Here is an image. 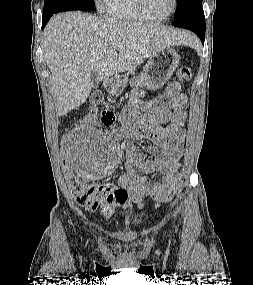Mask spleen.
Segmentation results:
<instances>
[{"label":"spleen","mask_w":253,"mask_h":285,"mask_svg":"<svg viewBox=\"0 0 253 285\" xmlns=\"http://www.w3.org/2000/svg\"><path fill=\"white\" fill-rule=\"evenodd\" d=\"M192 42H193V40H192V39H190L189 43H192Z\"/></svg>","instance_id":"1"}]
</instances>
